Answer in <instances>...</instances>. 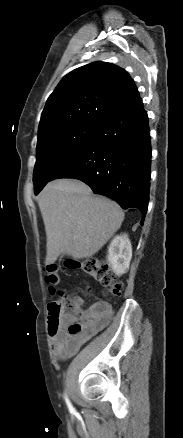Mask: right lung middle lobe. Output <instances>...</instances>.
<instances>
[{
    "label": "right lung middle lobe",
    "instance_id": "1",
    "mask_svg": "<svg viewBox=\"0 0 183 438\" xmlns=\"http://www.w3.org/2000/svg\"><path fill=\"white\" fill-rule=\"evenodd\" d=\"M97 126L77 125L38 137L34 188L38 194L90 141Z\"/></svg>",
    "mask_w": 183,
    "mask_h": 438
}]
</instances>
